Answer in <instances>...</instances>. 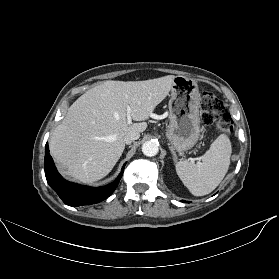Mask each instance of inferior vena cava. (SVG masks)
<instances>
[{"instance_id": "1", "label": "inferior vena cava", "mask_w": 279, "mask_h": 279, "mask_svg": "<svg viewBox=\"0 0 279 279\" xmlns=\"http://www.w3.org/2000/svg\"><path fill=\"white\" fill-rule=\"evenodd\" d=\"M140 134L139 132H135V131H130L129 133H127V135L124 137V142L126 144H130L132 143L134 140H137L139 138Z\"/></svg>"}]
</instances>
